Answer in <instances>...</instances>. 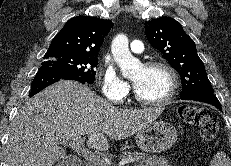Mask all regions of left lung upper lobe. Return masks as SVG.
Returning a JSON list of instances; mask_svg holds the SVG:
<instances>
[{
	"instance_id": "5c2ea615",
	"label": "left lung upper lobe",
	"mask_w": 231,
	"mask_h": 166,
	"mask_svg": "<svg viewBox=\"0 0 231 166\" xmlns=\"http://www.w3.org/2000/svg\"><path fill=\"white\" fill-rule=\"evenodd\" d=\"M146 37L181 76V98L189 95L214 94L194 41L180 23L171 17L145 22Z\"/></svg>"
}]
</instances>
